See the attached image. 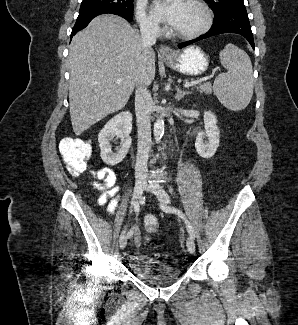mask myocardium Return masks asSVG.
Segmentation results:
<instances>
[{
  "mask_svg": "<svg viewBox=\"0 0 298 325\" xmlns=\"http://www.w3.org/2000/svg\"><path fill=\"white\" fill-rule=\"evenodd\" d=\"M188 1L189 3H191L196 10L199 12L200 16H201V23L200 25L189 32H184V33H177L172 31L171 29L168 30V33L170 36L174 37V38H178V39H183V40H191L194 38H197L199 36H201L202 34H204L209 26H210V14L207 10V8L198 0H185Z\"/></svg>",
  "mask_w": 298,
  "mask_h": 325,
  "instance_id": "f54148a6",
  "label": "myocardium"
}]
</instances>
